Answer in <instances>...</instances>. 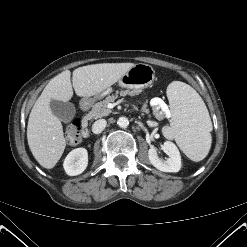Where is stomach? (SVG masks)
<instances>
[{"label": "stomach", "instance_id": "obj_1", "mask_svg": "<svg viewBox=\"0 0 247 247\" xmlns=\"http://www.w3.org/2000/svg\"><path fill=\"white\" fill-rule=\"evenodd\" d=\"M155 79V72L150 65L136 64L129 69L118 81L122 88L131 89L134 92L150 86ZM103 92L101 95L105 94Z\"/></svg>", "mask_w": 247, "mask_h": 247}]
</instances>
